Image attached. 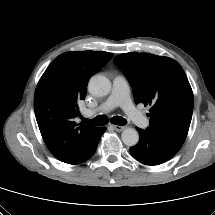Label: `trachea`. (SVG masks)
I'll use <instances>...</instances> for the list:
<instances>
[{"label": "trachea", "instance_id": "trachea-1", "mask_svg": "<svg viewBox=\"0 0 215 215\" xmlns=\"http://www.w3.org/2000/svg\"><path fill=\"white\" fill-rule=\"evenodd\" d=\"M82 120L91 126H103L106 125L108 123V118L104 115H99L97 117H95L94 119H86V118H82ZM111 123L115 124V125H120L123 126L126 124V119L120 117V116H114L111 119Z\"/></svg>", "mask_w": 215, "mask_h": 215}]
</instances>
